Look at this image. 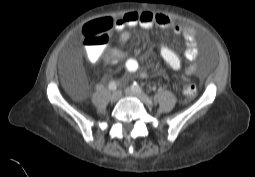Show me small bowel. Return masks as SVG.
Here are the masks:
<instances>
[{
	"label": "small bowel",
	"mask_w": 255,
	"mask_h": 177,
	"mask_svg": "<svg viewBox=\"0 0 255 177\" xmlns=\"http://www.w3.org/2000/svg\"><path fill=\"white\" fill-rule=\"evenodd\" d=\"M105 19L111 23V27L113 26L117 31L121 32L119 36L121 42H126L131 38L130 33L125 31L126 28H150L158 26L171 29L175 34L181 35L186 40L184 58L191 64L185 69L184 77L188 79L196 71L195 61L198 56V43L196 41L197 33L194 27L181 24L165 14H153L151 12H127L115 19L110 17H106ZM159 51L163 61L170 68L174 70L182 68V58L171 47L162 44L159 47ZM103 55L109 63H115L127 56L125 51L115 48L103 52L99 48L91 47L87 51L88 59L91 62H96ZM124 69L130 74L137 73L140 70L139 62L135 58H126Z\"/></svg>",
	"instance_id": "c3829d8e"
}]
</instances>
